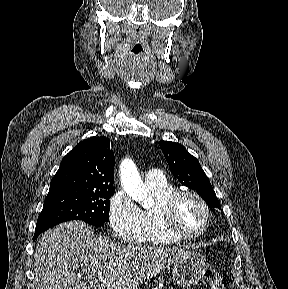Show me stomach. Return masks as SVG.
<instances>
[{
	"instance_id": "0dacf381",
	"label": "stomach",
	"mask_w": 288,
	"mask_h": 289,
	"mask_svg": "<svg viewBox=\"0 0 288 289\" xmlns=\"http://www.w3.org/2000/svg\"><path fill=\"white\" fill-rule=\"evenodd\" d=\"M207 267L205 257L198 252H189L173 263L172 275L176 284L188 288L197 284Z\"/></svg>"
}]
</instances>
